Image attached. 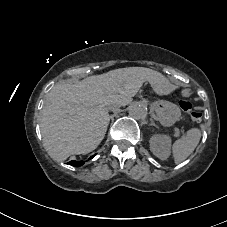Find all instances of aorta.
I'll use <instances>...</instances> for the list:
<instances>
[{
    "label": "aorta",
    "instance_id": "762f6f07",
    "mask_svg": "<svg viewBox=\"0 0 227 227\" xmlns=\"http://www.w3.org/2000/svg\"><path fill=\"white\" fill-rule=\"evenodd\" d=\"M128 112L129 115L136 120L145 119L148 114L147 107L141 103H132L129 106Z\"/></svg>",
    "mask_w": 227,
    "mask_h": 227
}]
</instances>
